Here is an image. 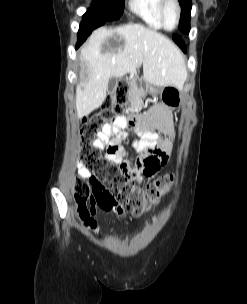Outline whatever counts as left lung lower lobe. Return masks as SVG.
<instances>
[{
	"instance_id": "1",
	"label": "left lung lower lobe",
	"mask_w": 247,
	"mask_h": 304,
	"mask_svg": "<svg viewBox=\"0 0 247 304\" xmlns=\"http://www.w3.org/2000/svg\"><path fill=\"white\" fill-rule=\"evenodd\" d=\"M188 33H189V32H188ZM188 33H185V34H188ZM173 40L178 44V46H179L184 52H186V46H185L184 42L181 40L180 36L174 35V36H173Z\"/></svg>"
}]
</instances>
